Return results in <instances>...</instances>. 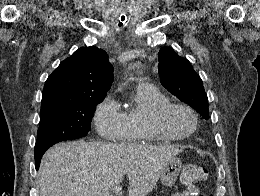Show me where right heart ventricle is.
Returning <instances> with one entry per match:
<instances>
[{"label":"right heart ventricle","mask_w":260,"mask_h":196,"mask_svg":"<svg viewBox=\"0 0 260 196\" xmlns=\"http://www.w3.org/2000/svg\"><path fill=\"white\" fill-rule=\"evenodd\" d=\"M167 102L169 98L156 86L147 83L134 84L130 92L129 105L123 110V115L124 128L135 130L136 134L122 139L120 143L147 144L166 140L149 127L148 121L152 111Z\"/></svg>","instance_id":"right-heart-ventricle-1"}]
</instances>
